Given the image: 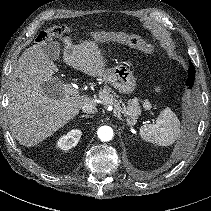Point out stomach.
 Returning <instances> with one entry per match:
<instances>
[{
    "instance_id": "0dacf381",
    "label": "stomach",
    "mask_w": 211,
    "mask_h": 211,
    "mask_svg": "<svg viewBox=\"0 0 211 211\" xmlns=\"http://www.w3.org/2000/svg\"><path fill=\"white\" fill-rule=\"evenodd\" d=\"M115 38L121 42H128L130 40V36L123 32L117 33ZM106 78L114 88L119 90V92L131 94L135 90L136 80L131 70L125 65H118L107 70Z\"/></svg>"
}]
</instances>
